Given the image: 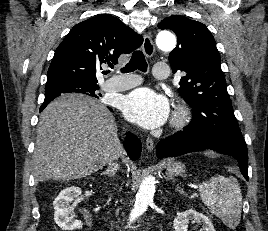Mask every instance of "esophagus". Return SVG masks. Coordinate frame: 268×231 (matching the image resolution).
Returning <instances> with one entry per match:
<instances>
[{"mask_svg": "<svg viewBox=\"0 0 268 231\" xmlns=\"http://www.w3.org/2000/svg\"><path fill=\"white\" fill-rule=\"evenodd\" d=\"M142 51L148 58L152 57L154 54L155 47L152 38L149 35L144 36V40L142 43ZM145 147L148 151H152L154 149L155 145L152 138L146 139Z\"/></svg>", "mask_w": 268, "mask_h": 231, "instance_id": "1", "label": "esophagus"}]
</instances>
